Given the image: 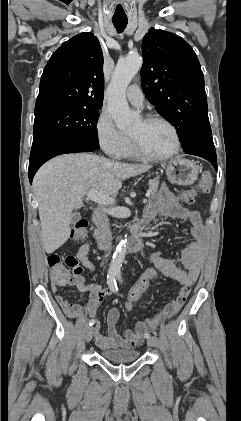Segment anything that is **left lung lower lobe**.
<instances>
[{
	"label": "left lung lower lobe",
	"mask_w": 241,
	"mask_h": 421,
	"mask_svg": "<svg viewBox=\"0 0 241 421\" xmlns=\"http://www.w3.org/2000/svg\"><path fill=\"white\" fill-rule=\"evenodd\" d=\"M187 154L200 156L208 160L217 171V157L213 141H204L195 147L184 151Z\"/></svg>",
	"instance_id": "1"
}]
</instances>
